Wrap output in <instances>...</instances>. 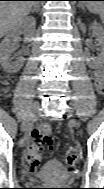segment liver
Returning a JSON list of instances; mask_svg holds the SVG:
<instances>
[{
  "mask_svg": "<svg viewBox=\"0 0 104 189\" xmlns=\"http://www.w3.org/2000/svg\"><path fill=\"white\" fill-rule=\"evenodd\" d=\"M34 1H1L0 2V34L3 36L15 29L17 24L29 14Z\"/></svg>",
  "mask_w": 104,
  "mask_h": 189,
  "instance_id": "liver-1",
  "label": "liver"
}]
</instances>
